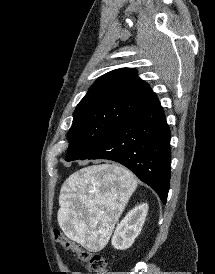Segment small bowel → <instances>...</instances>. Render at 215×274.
<instances>
[{
    "instance_id": "small-bowel-1",
    "label": "small bowel",
    "mask_w": 215,
    "mask_h": 274,
    "mask_svg": "<svg viewBox=\"0 0 215 274\" xmlns=\"http://www.w3.org/2000/svg\"><path fill=\"white\" fill-rule=\"evenodd\" d=\"M73 274H83V273H80V272H74Z\"/></svg>"
}]
</instances>
